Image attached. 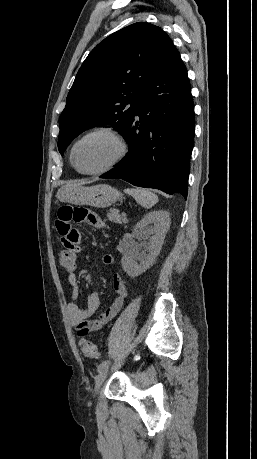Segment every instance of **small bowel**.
<instances>
[{
    "instance_id": "c3829d8e",
    "label": "small bowel",
    "mask_w": 257,
    "mask_h": 459,
    "mask_svg": "<svg viewBox=\"0 0 257 459\" xmlns=\"http://www.w3.org/2000/svg\"><path fill=\"white\" fill-rule=\"evenodd\" d=\"M56 232H59L61 246L65 251H76L77 257H86L87 250L82 248V237L79 234V226H87L88 229H102L105 223L99 218L97 208L92 205H59L57 217L55 219ZM113 255H105L103 263L107 267L115 265ZM67 282L71 287L70 297L73 300L67 305V312L73 328L80 337H84L91 332L101 329L106 323L111 321L121 310L127 297V287L119 274H114L112 278L113 289L116 297L112 304L101 313L98 319H89L99 307V296L96 292H90L87 296V305L81 308L75 300L80 295L78 278L75 273H69Z\"/></svg>"
}]
</instances>
